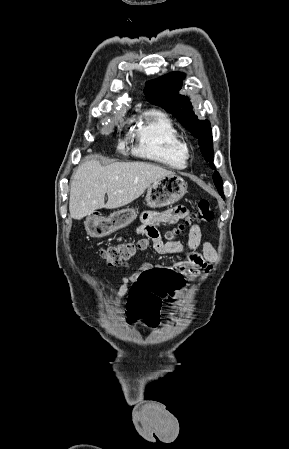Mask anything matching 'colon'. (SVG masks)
I'll use <instances>...</instances> for the list:
<instances>
[{"label":"colon","mask_w":289,"mask_h":449,"mask_svg":"<svg viewBox=\"0 0 289 449\" xmlns=\"http://www.w3.org/2000/svg\"><path fill=\"white\" fill-rule=\"evenodd\" d=\"M214 212L207 200H200L189 221L210 222ZM90 226H95L90 221ZM185 227L179 225L176 229L168 232L167 237L173 238ZM148 240L138 242H119L102 249L100 257L111 266H118L129 261L138 251L146 249ZM184 283L180 271L175 268H144L133 284L127 308L130 311L131 320L134 319V310H145L146 323L154 327L158 324L161 305L166 304L168 293L179 288Z\"/></svg>","instance_id":"1"}]
</instances>
